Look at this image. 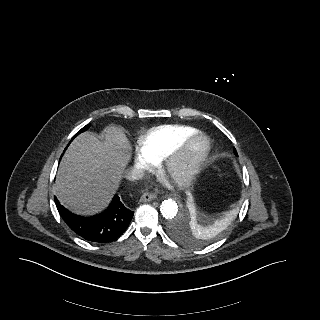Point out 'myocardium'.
<instances>
[{
	"label": "myocardium",
	"instance_id": "1",
	"mask_svg": "<svg viewBox=\"0 0 320 320\" xmlns=\"http://www.w3.org/2000/svg\"><path fill=\"white\" fill-rule=\"evenodd\" d=\"M210 150L209 138L194 132L163 160L162 173L179 186L187 185L200 173Z\"/></svg>",
	"mask_w": 320,
	"mask_h": 320
}]
</instances>
